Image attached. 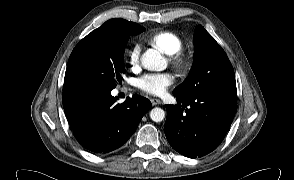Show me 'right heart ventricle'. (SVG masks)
Instances as JSON below:
<instances>
[{"label": "right heart ventricle", "instance_id": "obj_1", "mask_svg": "<svg viewBox=\"0 0 294 180\" xmlns=\"http://www.w3.org/2000/svg\"><path fill=\"white\" fill-rule=\"evenodd\" d=\"M147 41L159 48L168 56H173L179 53L183 48V43L180 37L170 31H160L147 38Z\"/></svg>", "mask_w": 294, "mask_h": 180}]
</instances>
